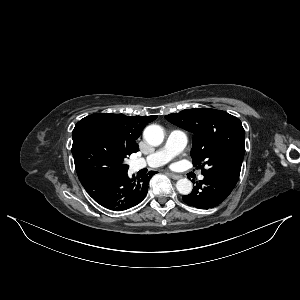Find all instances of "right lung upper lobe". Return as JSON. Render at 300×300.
<instances>
[{"instance_id":"cb5924a9","label":"right lung upper lobe","mask_w":300,"mask_h":300,"mask_svg":"<svg viewBox=\"0 0 300 300\" xmlns=\"http://www.w3.org/2000/svg\"><path fill=\"white\" fill-rule=\"evenodd\" d=\"M94 117L100 119L103 127L110 133L116 136L125 147L131 152H137L138 145L136 139L140 136L141 131L147 123L155 120L157 116H131L124 114H92Z\"/></svg>"}]
</instances>
